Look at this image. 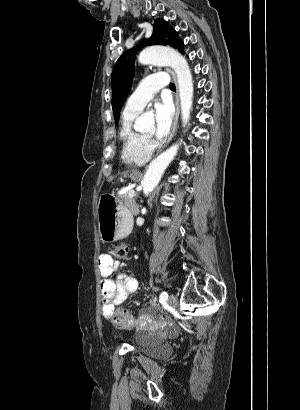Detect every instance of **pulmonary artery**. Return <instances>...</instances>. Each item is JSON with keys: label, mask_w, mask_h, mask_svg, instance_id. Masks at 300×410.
Here are the masks:
<instances>
[{"label": "pulmonary artery", "mask_w": 300, "mask_h": 410, "mask_svg": "<svg viewBox=\"0 0 300 410\" xmlns=\"http://www.w3.org/2000/svg\"><path fill=\"white\" fill-rule=\"evenodd\" d=\"M169 83L168 75L164 72L152 74L144 78L139 88L128 98L125 111L140 112L153 95Z\"/></svg>", "instance_id": "1"}]
</instances>
